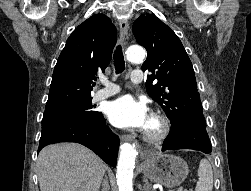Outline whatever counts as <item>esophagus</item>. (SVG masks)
I'll use <instances>...</instances> for the list:
<instances>
[{
	"label": "esophagus",
	"mask_w": 251,
	"mask_h": 191,
	"mask_svg": "<svg viewBox=\"0 0 251 191\" xmlns=\"http://www.w3.org/2000/svg\"><path fill=\"white\" fill-rule=\"evenodd\" d=\"M120 25V37L124 44H126L128 38H129V24L127 20H121L119 22ZM122 143L126 142H133L134 141V136L132 134H127V135H121L120 137Z\"/></svg>",
	"instance_id": "1"
}]
</instances>
